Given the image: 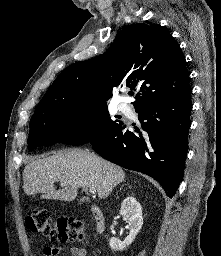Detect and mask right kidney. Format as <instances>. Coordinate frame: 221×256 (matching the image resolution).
<instances>
[{
    "label": "right kidney",
    "instance_id": "obj_1",
    "mask_svg": "<svg viewBox=\"0 0 221 256\" xmlns=\"http://www.w3.org/2000/svg\"><path fill=\"white\" fill-rule=\"evenodd\" d=\"M120 215L124 216L128 220L130 232L124 241H120L115 237H112L109 240L111 249L117 251H122L127 246H129L134 241L143 225L141 205L133 196L126 197L123 200L121 204Z\"/></svg>",
    "mask_w": 221,
    "mask_h": 256
}]
</instances>
